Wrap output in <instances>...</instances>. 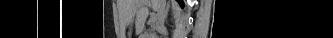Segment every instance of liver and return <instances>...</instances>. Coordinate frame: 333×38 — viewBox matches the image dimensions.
Returning <instances> with one entry per match:
<instances>
[{"label":"liver","instance_id":"6515ba94","mask_svg":"<svg viewBox=\"0 0 333 38\" xmlns=\"http://www.w3.org/2000/svg\"><path fill=\"white\" fill-rule=\"evenodd\" d=\"M158 3L159 0H136L135 5L131 0H121L120 11H129L132 8H135L134 14H136V32L139 33L142 31L146 18L148 16L147 6H152L153 10L158 13Z\"/></svg>","mask_w":333,"mask_h":38}]
</instances>
